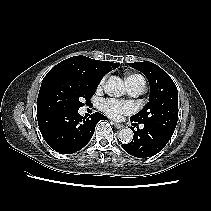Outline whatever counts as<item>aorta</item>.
<instances>
[{
  "mask_svg": "<svg viewBox=\"0 0 211 211\" xmlns=\"http://www.w3.org/2000/svg\"><path fill=\"white\" fill-rule=\"evenodd\" d=\"M105 92L109 96H113V97H120L124 95L125 86H124L123 80L118 76H111L106 82ZM117 137L121 143L128 144L133 139V132L129 128H124L118 132Z\"/></svg>",
  "mask_w": 211,
  "mask_h": 211,
  "instance_id": "aorta-1",
  "label": "aorta"
}]
</instances>
